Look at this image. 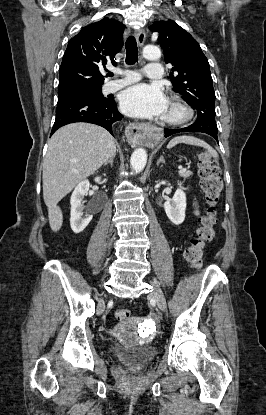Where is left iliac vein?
I'll return each mask as SVG.
<instances>
[{"label":"left iliac vein","mask_w":266,"mask_h":415,"mask_svg":"<svg viewBox=\"0 0 266 415\" xmlns=\"http://www.w3.org/2000/svg\"><path fill=\"white\" fill-rule=\"evenodd\" d=\"M151 284L153 286V291L151 295L155 299L158 308L162 311H166L167 304L162 290L155 282H152Z\"/></svg>","instance_id":"1"}]
</instances>
